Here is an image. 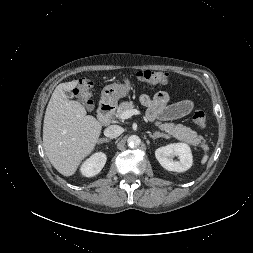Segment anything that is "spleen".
Here are the masks:
<instances>
[{"label": "spleen", "mask_w": 253, "mask_h": 253, "mask_svg": "<svg viewBox=\"0 0 253 253\" xmlns=\"http://www.w3.org/2000/svg\"><path fill=\"white\" fill-rule=\"evenodd\" d=\"M207 160H208V155L205 154V155L203 156L202 160H201V163H202V164H205V163L207 162Z\"/></svg>", "instance_id": "spleen-1"}]
</instances>
